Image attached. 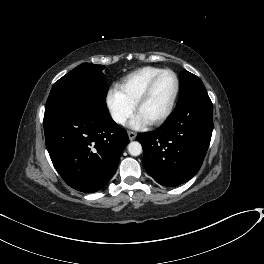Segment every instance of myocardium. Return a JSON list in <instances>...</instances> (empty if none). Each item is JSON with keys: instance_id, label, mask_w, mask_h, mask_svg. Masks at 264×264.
Here are the masks:
<instances>
[{"instance_id": "obj_1", "label": "myocardium", "mask_w": 264, "mask_h": 264, "mask_svg": "<svg viewBox=\"0 0 264 264\" xmlns=\"http://www.w3.org/2000/svg\"><path fill=\"white\" fill-rule=\"evenodd\" d=\"M169 73L171 74L174 79H175V88H174V92L173 95L171 97V100L166 108V110L156 119L149 121L148 124L150 125H159L162 124L172 113L178 94H179V89H180V83H179V78L177 76V74L170 70V69H164L162 71H160L158 74H156L147 84V86L145 87V89L143 90V92L141 93L140 97L138 98V100L135 103V109L138 112L139 108L141 107V105L150 97L152 90L155 86V84L157 83L158 79L163 75Z\"/></svg>"}]
</instances>
